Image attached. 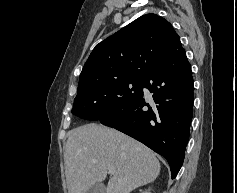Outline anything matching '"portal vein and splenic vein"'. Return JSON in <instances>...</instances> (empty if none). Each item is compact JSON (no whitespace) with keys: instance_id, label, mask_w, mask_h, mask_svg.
I'll return each mask as SVG.
<instances>
[{"instance_id":"1","label":"portal vein and splenic vein","mask_w":237,"mask_h":193,"mask_svg":"<svg viewBox=\"0 0 237 193\" xmlns=\"http://www.w3.org/2000/svg\"><path fill=\"white\" fill-rule=\"evenodd\" d=\"M108 172H109L110 174H114V173H115V170H114L113 168H109V169H108Z\"/></svg>"}]
</instances>
